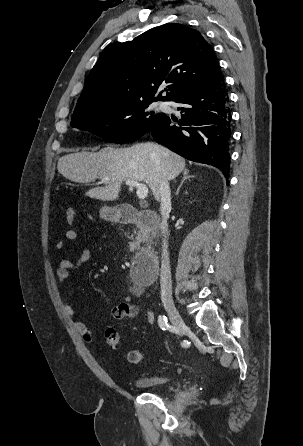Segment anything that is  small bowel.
Wrapping results in <instances>:
<instances>
[{
	"label": "small bowel",
	"instance_id": "c3829d8e",
	"mask_svg": "<svg viewBox=\"0 0 303 446\" xmlns=\"http://www.w3.org/2000/svg\"><path fill=\"white\" fill-rule=\"evenodd\" d=\"M65 237L68 241L74 242L77 240V233L74 230H67L65 232ZM66 247V243L63 240H60L56 243L57 250H63ZM92 257V252L90 249H84L76 260H68L61 259L58 264V268L56 271L57 280L60 288H63L65 281L68 279L70 272L73 270L79 269L85 263H87ZM130 293L134 296H139L141 294V290L137 287H133L130 290ZM62 306L65 314L72 320L75 329L81 335V337L87 342L94 341V332L93 329L88 326L86 323L79 321L75 317V312L73 307L69 304L66 296L62 293L61 296ZM140 308L132 303L131 295H124L122 297V301L119 304H116L111 309V314L115 319H125V318H133L140 313ZM144 317L148 323L153 324L155 321V316L152 311L146 310L144 311Z\"/></svg>",
	"mask_w": 303,
	"mask_h": 446
}]
</instances>
